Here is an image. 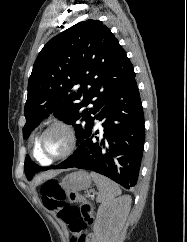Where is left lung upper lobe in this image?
I'll list each match as a JSON object with an SVG mask.
<instances>
[{
	"label": "left lung upper lobe",
	"mask_w": 187,
	"mask_h": 242,
	"mask_svg": "<svg viewBox=\"0 0 187 242\" xmlns=\"http://www.w3.org/2000/svg\"><path fill=\"white\" fill-rule=\"evenodd\" d=\"M134 77L132 63L109 28L91 19L75 24L48 41L37 56L28 81L23 137L54 113L74 126L78 146L105 103ZM24 169L29 180L47 170L28 155Z\"/></svg>",
	"instance_id": "obj_1"
}]
</instances>
